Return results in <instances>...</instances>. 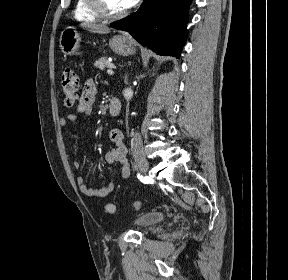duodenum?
Segmentation results:
<instances>
[{
	"label": "duodenum",
	"instance_id": "obj_1",
	"mask_svg": "<svg viewBox=\"0 0 288 280\" xmlns=\"http://www.w3.org/2000/svg\"><path fill=\"white\" fill-rule=\"evenodd\" d=\"M120 109H121L120 101L117 98L111 99L108 108L109 114L114 117L118 116L120 113Z\"/></svg>",
	"mask_w": 288,
	"mask_h": 280
}]
</instances>
